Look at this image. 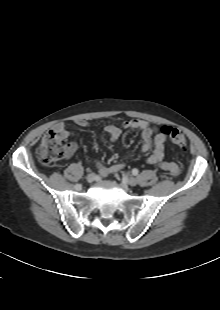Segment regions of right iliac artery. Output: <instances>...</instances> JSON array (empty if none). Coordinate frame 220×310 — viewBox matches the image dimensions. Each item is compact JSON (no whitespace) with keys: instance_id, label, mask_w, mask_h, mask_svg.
I'll return each mask as SVG.
<instances>
[{"instance_id":"obj_1","label":"right iliac artery","mask_w":220,"mask_h":310,"mask_svg":"<svg viewBox=\"0 0 220 310\" xmlns=\"http://www.w3.org/2000/svg\"><path fill=\"white\" fill-rule=\"evenodd\" d=\"M75 189L76 190H81L82 189V185L81 184H76L75 185Z\"/></svg>"}]
</instances>
